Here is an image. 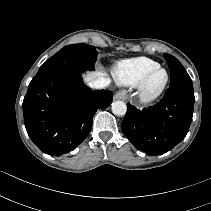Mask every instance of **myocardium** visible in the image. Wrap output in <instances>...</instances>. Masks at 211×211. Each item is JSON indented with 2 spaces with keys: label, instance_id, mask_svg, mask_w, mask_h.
<instances>
[{
  "label": "myocardium",
  "instance_id": "1",
  "mask_svg": "<svg viewBox=\"0 0 211 211\" xmlns=\"http://www.w3.org/2000/svg\"><path fill=\"white\" fill-rule=\"evenodd\" d=\"M159 71H163L165 73L164 81L156 88H151L150 83L153 76L158 73ZM169 83V73L163 67H157L151 70L141 81L138 86V100L143 105H151L156 102L165 92Z\"/></svg>",
  "mask_w": 211,
  "mask_h": 211
}]
</instances>
